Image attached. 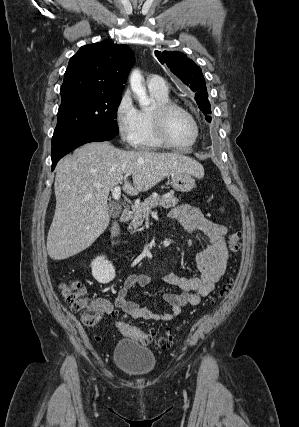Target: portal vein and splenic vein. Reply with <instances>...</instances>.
<instances>
[{"instance_id": "1", "label": "portal vein and splenic vein", "mask_w": 299, "mask_h": 427, "mask_svg": "<svg viewBox=\"0 0 299 427\" xmlns=\"http://www.w3.org/2000/svg\"><path fill=\"white\" fill-rule=\"evenodd\" d=\"M121 197V189L120 186H116L113 190H112V198L114 200H119Z\"/></svg>"}]
</instances>
